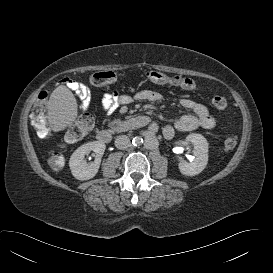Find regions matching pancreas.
<instances>
[{"label":"pancreas","instance_id":"pancreas-1","mask_svg":"<svg viewBox=\"0 0 273 273\" xmlns=\"http://www.w3.org/2000/svg\"><path fill=\"white\" fill-rule=\"evenodd\" d=\"M121 124V120L120 119H115L113 121H111L108 126L111 128V130L114 132L116 131V129L118 128V126Z\"/></svg>","mask_w":273,"mask_h":273}]
</instances>
